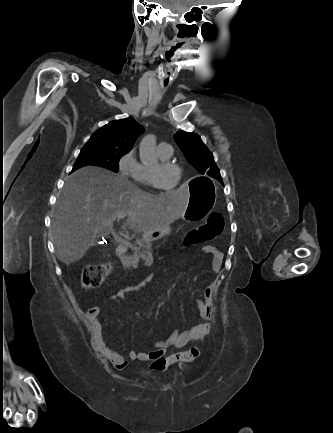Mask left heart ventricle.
<instances>
[{"instance_id": "b2bd125f", "label": "left heart ventricle", "mask_w": 333, "mask_h": 433, "mask_svg": "<svg viewBox=\"0 0 333 433\" xmlns=\"http://www.w3.org/2000/svg\"><path fill=\"white\" fill-rule=\"evenodd\" d=\"M157 170L159 183L166 189L171 190L177 182L178 173L174 168H161L159 162L151 166Z\"/></svg>"}]
</instances>
